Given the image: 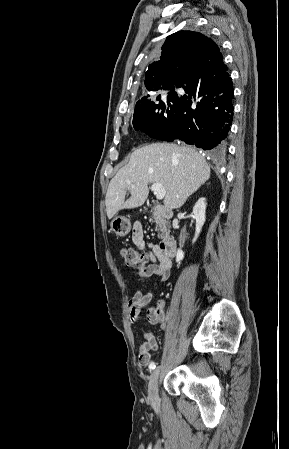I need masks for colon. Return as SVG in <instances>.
Masks as SVG:
<instances>
[{
    "mask_svg": "<svg viewBox=\"0 0 289 449\" xmlns=\"http://www.w3.org/2000/svg\"><path fill=\"white\" fill-rule=\"evenodd\" d=\"M120 255L127 266L139 270L147 267L150 260L145 252H140L133 247H123L120 250Z\"/></svg>",
    "mask_w": 289,
    "mask_h": 449,
    "instance_id": "obj_1",
    "label": "colon"
}]
</instances>
